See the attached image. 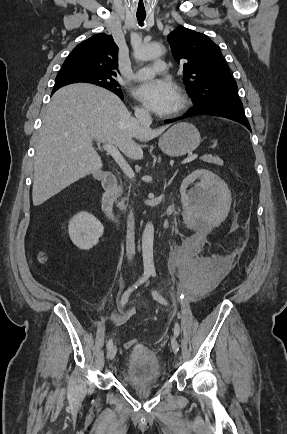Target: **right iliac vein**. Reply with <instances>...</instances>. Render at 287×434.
Listing matches in <instances>:
<instances>
[{
  "label": "right iliac vein",
  "mask_w": 287,
  "mask_h": 434,
  "mask_svg": "<svg viewBox=\"0 0 287 434\" xmlns=\"http://www.w3.org/2000/svg\"><path fill=\"white\" fill-rule=\"evenodd\" d=\"M116 352H117V347H116V345H112V346L108 349V351H107V359H108V360H112V359H114V357H115V355H116Z\"/></svg>",
  "instance_id": "obj_1"
}]
</instances>
